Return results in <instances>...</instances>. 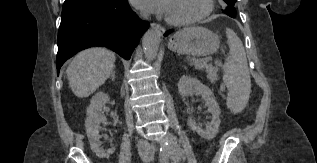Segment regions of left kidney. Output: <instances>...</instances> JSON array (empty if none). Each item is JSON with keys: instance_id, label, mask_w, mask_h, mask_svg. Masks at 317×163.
Instances as JSON below:
<instances>
[{"instance_id": "obj_1", "label": "left kidney", "mask_w": 317, "mask_h": 163, "mask_svg": "<svg viewBox=\"0 0 317 163\" xmlns=\"http://www.w3.org/2000/svg\"><path fill=\"white\" fill-rule=\"evenodd\" d=\"M178 90L182 97H186L191 93H198L202 95V98L205 101V106L208 107V112L212 114V121L210 125L206 129H202L191 117L188 118L187 124L192 131L197 132L202 138L207 140L213 139L218 133L221 122V111L213 92L199 80L188 75L181 77L178 83Z\"/></svg>"}]
</instances>
